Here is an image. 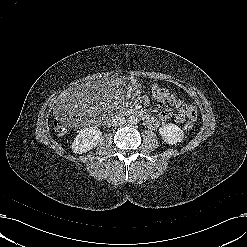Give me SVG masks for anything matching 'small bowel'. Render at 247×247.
<instances>
[{
    "mask_svg": "<svg viewBox=\"0 0 247 247\" xmlns=\"http://www.w3.org/2000/svg\"><path fill=\"white\" fill-rule=\"evenodd\" d=\"M158 86L157 84H153L151 88ZM165 89V88H164ZM166 96L163 100L158 101V103L165 107H171L176 110V114L174 115V119L177 123L182 124L185 122L186 119H196L197 112L196 109L188 104L185 103L179 99L176 98V96L169 90L165 89ZM145 102H147V99H144ZM172 117V114L168 110H163L159 113L158 118H152V122L148 123V126L150 128H156L159 125L160 121H166Z\"/></svg>",
    "mask_w": 247,
    "mask_h": 247,
    "instance_id": "obj_1",
    "label": "small bowel"
}]
</instances>
